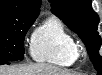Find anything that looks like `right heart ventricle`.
<instances>
[{"label": "right heart ventricle", "instance_id": "obj_1", "mask_svg": "<svg viewBox=\"0 0 102 75\" xmlns=\"http://www.w3.org/2000/svg\"><path fill=\"white\" fill-rule=\"evenodd\" d=\"M31 54L36 61L70 66L78 57V44L62 21L51 16L35 31Z\"/></svg>", "mask_w": 102, "mask_h": 75}]
</instances>
